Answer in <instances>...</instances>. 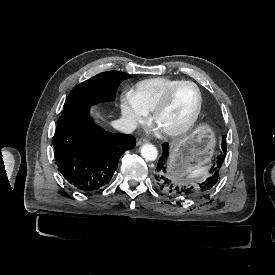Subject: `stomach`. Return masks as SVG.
Wrapping results in <instances>:
<instances>
[{
	"label": "stomach",
	"mask_w": 275,
	"mask_h": 275,
	"mask_svg": "<svg viewBox=\"0 0 275 275\" xmlns=\"http://www.w3.org/2000/svg\"><path fill=\"white\" fill-rule=\"evenodd\" d=\"M213 146L211 130L206 126L198 127L190 136L174 144L169 164L170 173H187L207 163L213 154Z\"/></svg>",
	"instance_id": "stomach-1"
}]
</instances>
